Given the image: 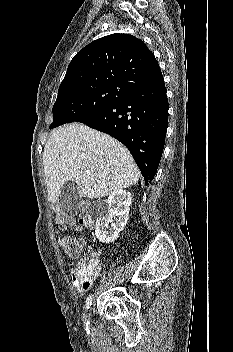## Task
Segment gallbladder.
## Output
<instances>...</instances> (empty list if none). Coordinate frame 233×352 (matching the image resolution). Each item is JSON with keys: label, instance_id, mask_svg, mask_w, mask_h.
I'll use <instances>...</instances> for the list:
<instances>
[{"label": "gallbladder", "instance_id": "gallbladder-1", "mask_svg": "<svg viewBox=\"0 0 233 352\" xmlns=\"http://www.w3.org/2000/svg\"><path fill=\"white\" fill-rule=\"evenodd\" d=\"M81 197L74 180L67 181L61 189L59 205L66 214L74 215L79 211Z\"/></svg>", "mask_w": 233, "mask_h": 352}]
</instances>
